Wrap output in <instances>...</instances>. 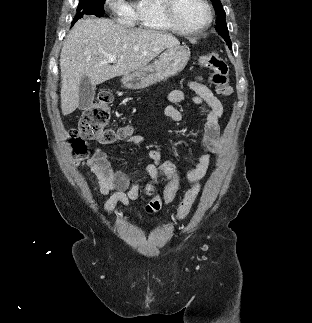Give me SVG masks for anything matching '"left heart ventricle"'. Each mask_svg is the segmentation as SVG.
<instances>
[{"mask_svg":"<svg viewBox=\"0 0 312 323\" xmlns=\"http://www.w3.org/2000/svg\"><path fill=\"white\" fill-rule=\"evenodd\" d=\"M172 14L185 18L186 22H195L196 18H207L209 7H203L201 0H171Z\"/></svg>","mask_w":312,"mask_h":323,"instance_id":"left-heart-ventricle-1","label":"left heart ventricle"}]
</instances>
